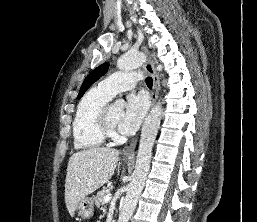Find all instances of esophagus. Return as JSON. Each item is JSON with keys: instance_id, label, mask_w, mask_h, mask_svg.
I'll return each instance as SVG.
<instances>
[{"instance_id": "obj_1", "label": "esophagus", "mask_w": 257, "mask_h": 222, "mask_svg": "<svg viewBox=\"0 0 257 222\" xmlns=\"http://www.w3.org/2000/svg\"><path fill=\"white\" fill-rule=\"evenodd\" d=\"M143 51L148 54V50L145 46L142 47ZM144 69L152 76L153 79V89L151 93V100H152V106L155 105L157 95H158V89H159V80L156 75L153 62L148 59L144 65ZM137 139H134L129 146H127L123 151V156L128 158H134L135 155V145H136Z\"/></svg>"}]
</instances>
